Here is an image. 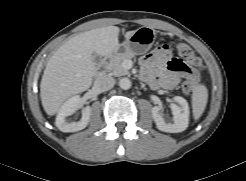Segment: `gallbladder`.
Segmentation results:
<instances>
[{
    "mask_svg": "<svg viewBox=\"0 0 246 181\" xmlns=\"http://www.w3.org/2000/svg\"><path fill=\"white\" fill-rule=\"evenodd\" d=\"M102 57L96 53L93 54V62L98 65L100 64Z\"/></svg>",
    "mask_w": 246,
    "mask_h": 181,
    "instance_id": "gallbladder-1",
    "label": "gallbladder"
}]
</instances>
